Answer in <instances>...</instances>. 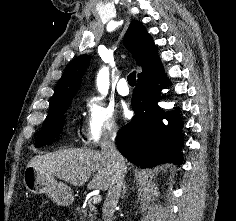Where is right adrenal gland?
<instances>
[{
	"label": "right adrenal gland",
	"mask_w": 236,
	"mask_h": 221,
	"mask_svg": "<svg viewBox=\"0 0 236 221\" xmlns=\"http://www.w3.org/2000/svg\"><path fill=\"white\" fill-rule=\"evenodd\" d=\"M127 187H126V183L123 184V191H122V196H125Z\"/></svg>",
	"instance_id": "obj_1"
}]
</instances>
